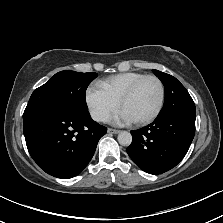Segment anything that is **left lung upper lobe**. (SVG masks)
<instances>
[{
	"mask_svg": "<svg viewBox=\"0 0 223 223\" xmlns=\"http://www.w3.org/2000/svg\"><path fill=\"white\" fill-rule=\"evenodd\" d=\"M165 88V101L157 118L173 114L196 115L195 104L185 87L173 76L153 70Z\"/></svg>",
	"mask_w": 223,
	"mask_h": 223,
	"instance_id": "left-lung-upper-lobe-1",
	"label": "left lung upper lobe"
}]
</instances>
